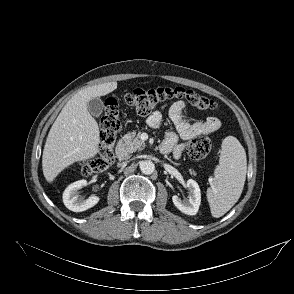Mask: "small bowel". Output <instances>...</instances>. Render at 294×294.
Instances as JSON below:
<instances>
[{
  "label": "small bowel",
  "mask_w": 294,
  "mask_h": 294,
  "mask_svg": "<svg viewBox=\"0 0 294 294\" xmlns=\"http://www.w3.org/2000/svg\"><path fill=\"white\" fill-rule=\"evenodd\" d=\"M168 114L175 126V131L166 134L162 143V151L172 152L176 159L182 156L185 148V144L179 143V139L188 141L199 135L215 132L221 127V121L216 117H208L203 121L190 123L185 114V103L181 100L170 105ZM162 118V112L155 111L148 117L147 123L152 128H159Z\"/></svg>",
  "instance_id": "1"
}]
</instances>
